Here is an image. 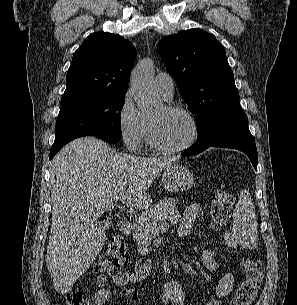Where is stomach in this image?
Instances as JSON below:
<instances>
[{"mask_svg": "<svg viewBox=\"0 0 297 305\" xmlns=\"http://www.w3.org/2000/svg\"><path fill=\"white\" fill-rule=\"evenodd\" d=\"M161 181L167 191L178 193L191 188L194 177L187 167L174 164L164 170Z\"/></svg>", "mask_w": 297, "mask_h": 305, "instance_id": "0dacf381", "label": "stomach"}]
</instances>
